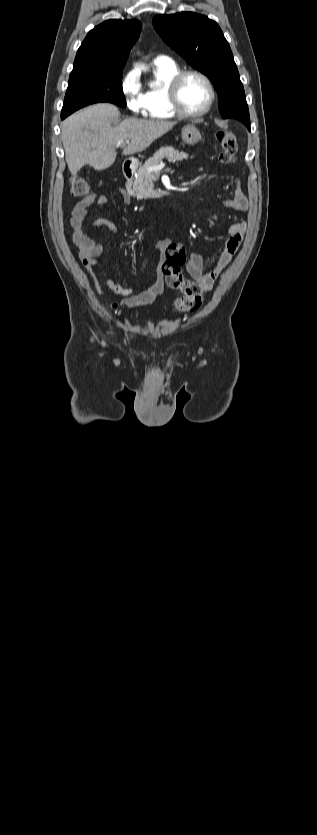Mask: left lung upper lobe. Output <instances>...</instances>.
<instances>
[{
  "label": "left lung upper lobe",
  "instance_id": "left-lung-upper-lobe-1",
  "mask_svg": "<svg viewBox=\"0 0 317 835\" xmlns=\"http://www.w3.org/2000/svg\"><path fill=\"white\" fill-rule=\"evenodd\" d=\"M153 25L171 48L211 80L223 118L250 123L243 84L218 24L201 14L181 12L157 15Z\"/></svg>",
  "mask_w": 317,
  "mask_h": 835
}]
</instances>
